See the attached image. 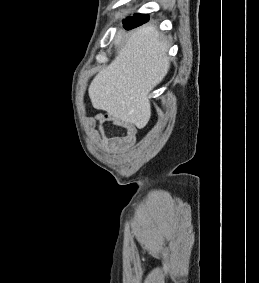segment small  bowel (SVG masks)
<instances>
[{"label": "small bowel", "instance_id": "1", "mask_svg": "<svg viewBox=\"0 0 259 283\" xmlns=\"http://www.w3.org/2000/svg\"><path fill=\"white\" fill-rule=\"evenodd\" d=\"M112 123L124 129V134L108 136L104 132V125ZM86 127L95 142L102 143L110 152L125 151L136 141V128L126 120L119 119L110 114L98 113L87 118Z\"/></svg>", "mask_w": 259, "mask_h": 283}]
</instances>
